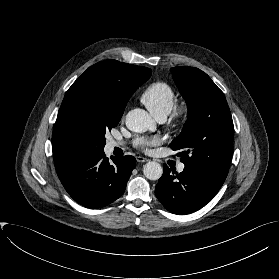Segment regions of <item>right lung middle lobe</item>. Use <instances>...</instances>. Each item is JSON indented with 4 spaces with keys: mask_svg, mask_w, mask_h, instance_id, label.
Here are the masks:
<instances>
[{
    "mask_svg": "<svg viewBox=\"0 0 279 279\" xmlns=\"http://www.w3.org/2000/svg\"><path fill=\"white\" fill-rule=\"evenodd\" d=\"M121 117L97 109L80 87H70L57 116L52 148L67 160L103 152L105 133L116 127Z\"/></svg>",
    "mask_w": 279,
    "mask_h": 279,
    "instance_id": "obj_1",
    "label": "right lung middle lobe"
}]
</instances>
